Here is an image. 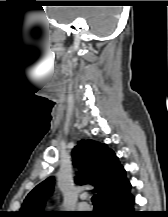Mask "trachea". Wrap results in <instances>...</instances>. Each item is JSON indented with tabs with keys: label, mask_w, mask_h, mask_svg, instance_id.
<instances>
[{
	"label": "trachea",
	"mask_w": 168,
	"mask_h": 217,
	"mask_svg": "<svg viewBox=\"0 0 168 217\" xmlns=\"http://www.w3.org/2000/svg\"><path fill=\"white\" fill-rule=\"evenodd\" d=\"M97 196L96 195H94L93 197H92V199H91V201H92V203H93V205H97Z\"/></svg>",
	"instance_id": "3493384b"
}]
</instances>
